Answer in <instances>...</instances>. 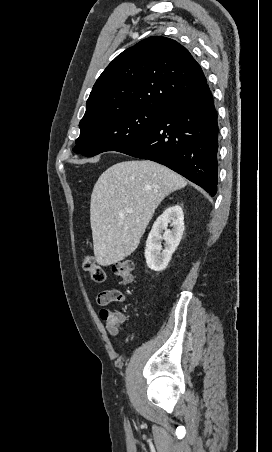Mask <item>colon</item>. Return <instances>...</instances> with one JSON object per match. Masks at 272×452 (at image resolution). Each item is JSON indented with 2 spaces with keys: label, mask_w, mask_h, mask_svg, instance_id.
Returning a JSON list of instances; mask_svg holds the SVG:
<instances>
[{
  "label": "colon",
  "mask_w": 272,
  "mask_h": 452,
  "mask_svg": "<svg viewBox=\"0 0 272 452\" xmlns=\"http://www.w3.org/2000/svg\"><path fill=\"white\" fill-rule=\"evenodd\" d=\"M82 267L91 276V279L96 283H103L106 281V273L103 267L97 263L95 258L90 255H85L82 259ZM114 274L121 278L124 282H131L134 278V265L131 260H122L114 265Z\"/></svg>",
  "instance_id": "1"
}]
</instances>
